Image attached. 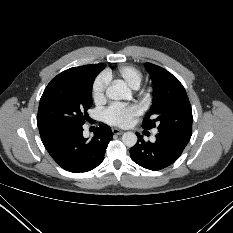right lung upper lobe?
<instances>
[{"instance_id": "obj_1", "label": "right lung upper lobe", "mask_w": 233, "mask_h": 233, "mask_svg": "<svg viewBox=\"0 0 233 233\" xmlns=\"http://www.w3.org/2000/svg\"><path fill=\"white\" fill-rule=\"evenodd\" d=\"M85 66H86V65H85ZM85 66L70 68V69H68V70L63 71L62 73H60V74L57 75L56 77H62V76H67V75H72V74L78 73V72L81 71Z\"/></svg>"}]
</instances>
